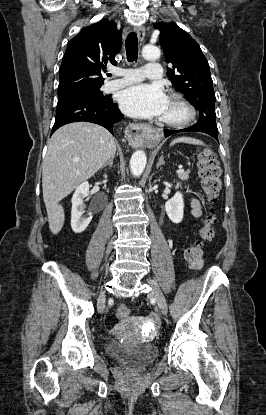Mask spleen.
Masks as SVG:
<instances>
[{
  "label": "spleen",
  "instance_id": "obj_1",
  "mask_svg": "<svg viewBox=\"0 0 266 415\" xmlns=\"http://www.w3.org/2000/svg\"><path fill=\"white\" fill-rule=\"evenodd\" d=\"M184 142L188 144H197V145H204V143L198 139L190 138V137H180L177 139H174L171 142V145H174L175 143Z\"/></svg>",
  "mask_w": 266,
  "mask_h": 415
}]
</instances>
